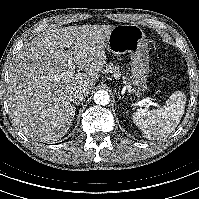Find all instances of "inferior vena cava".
Masks as SVG:
<instances>
[{
    "label": "inferior vena cava",
    "instance_id": "obj_1",
    "mask_svg": "<svg viewBox=\"0 0 199 199\" xmlns=\"http://www.w3.org/2000/svg\"><path fill=\"white\" fill-rule=\"evenodd\" d=\"M86 92L85 89L81 87H75L70 91V99L74 103H80L85 100Z\"/></svg>",
    "mask_w": 199,
    "mask_h": 199
}]
</instances>
